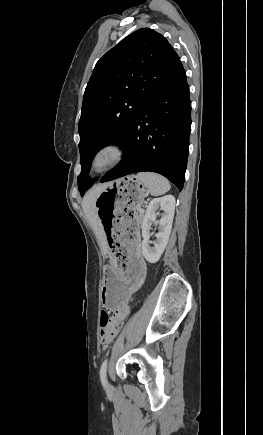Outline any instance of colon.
I'll list each match as a JSON object with an SVG mask.
<instances>
[{
    "label": "colon",
    "instance_id": "5ec220e1",
    "mask_svg": "<svg viewBox=\"0 0 263 435\" xmlns=\"http://www.w3.org/2000/svg\"><path fill=\"white\" fill-rule=\"evenodd\" d=\"M107 321H112L111 316L109 315V313L107 311H101V314H100V326H101L100 337H101V341L103 344H109L113 339L112 335H109L107 333V329L104 327V324ZM124 324L125 323L123 321H119L117 328L124 329Z\"/></svg>",
    "mask_w": 263,
    "mask_h": 435
}]
</instances>
